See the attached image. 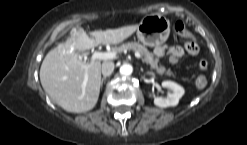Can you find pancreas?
<instances>
[{
  "instance_id": "cf45deb5",
  "label": "pancreas",
  "mask_w": 247,
  "mask_h": 145,
  "mask_svg": "<svg viewBox=\"0 0 247 145\" xmlns=\"http://www.w3.org/2000/svg\"><path fill=\"white\" fill-rule=\"evenodd\" d=\"M125 50H133L139 52L144 57V62L150 65L152 70H155L158 74L171 75L170 70H166L164 66L159 64V59L155 58L154 54L151 53L145 46L138 42H128L120 46L114 47L113 51L122 53Z\"/></svg>"
}]
</instances>
